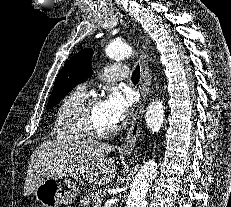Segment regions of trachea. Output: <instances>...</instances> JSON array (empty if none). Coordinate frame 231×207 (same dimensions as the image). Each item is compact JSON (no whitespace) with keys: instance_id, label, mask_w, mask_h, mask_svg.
I'll return each instance as SVG.
<instances>
[{"instance_id":"3493384b","label":"trachea","mask_w":231,"mask_h":207,"mask_svg":"<svg viewBox=\"0 0 231 207\" xmlns=\"http://www.w3.org/2000/svg\"><path fill=\"white\" fill-rule=\"evenodd\" d=\"M139 79H140V66L137 65L135 70L132 73L131 80L132 82H139Z\"/></svg>"}]
</instances>
